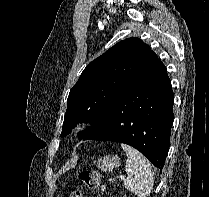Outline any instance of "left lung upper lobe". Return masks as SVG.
Listing matches in <instances>:
<instances>
[{
    "label": "left lung upper lobe",
    "instance_id": "5c2ea615",
    "mask_svg": "<svg viewBox=\"0 0 209 197\" xmlns=\"http://www.w3.org/2000/svg\"><path fill=\"white\" fill-rule=\"evenodd\" d=\"M157 59L147 44L132 37L118 42L89 63L70 90L61 136L70 133L76 123L89 122L92 127L78 134L79 139L84 138Z\"/></svg>",
    "mask_w": 209,
    "mask_h": 197
}]
</instances>
